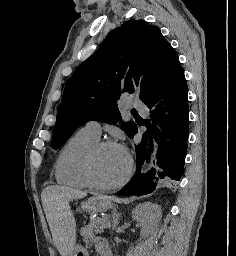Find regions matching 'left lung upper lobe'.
<instances>
[{"label": "left lung upper lobe", "mask_w": 236, "mask_h": 256, "mask_svg": "<svg viewBox=\"0 0 236 256\" xmlns=\"http://www.w3.org/2000/svg\"><path fill=\"white\" fill-rule=\"evenodd\" d=\"M181 68L177 53L157 26L128 20L112 30L99 49L67 81L57 109L52 147L58 149L84 123L121 118L117 100L139 94L144 102ZM131 137L136 124H121Z\"/></svg>", "instance_id": "1"}]
</instances>
